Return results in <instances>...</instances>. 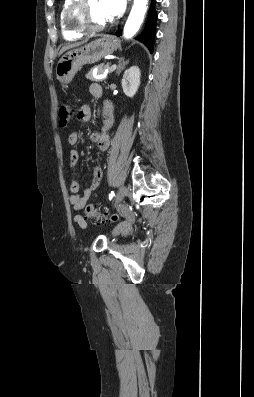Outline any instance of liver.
Instances as JSON below:
<instances>
[{"label":"liver","mask_w":254,"mask_h":397,"mask_svg":"<svg viewBox=\"0 0 254 397\" xmlns=\"http://www.w3.org/2000/svg\"><path fill=\"white\" fill-rule=\"evenodd\" d=\"M87 41H88V39H85V40H83V41H81V42H77V43H74V44L66 45V46H64V47L60 50V53H59V54H62L63 52H65L66 50H68V49H70V48H73V47H77V46H79V45H82V44L86 43Z\"/></svg>","instance_id":"1"}]
</instances>
